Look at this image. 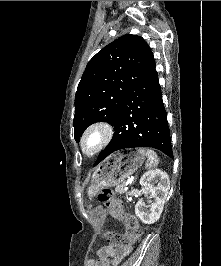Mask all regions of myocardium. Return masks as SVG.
<instances>
[{"mask_svg": "<svg viewBox=\"0 0 221 266\" xmlns=\"http://www.w3.org/2000/svg\"><path fill=\"white\" fill-rule=\"evenodd\" d=\"M114 134L113 126L105 121L91 124L83 133L79 141V148L85 157L98 154L111 140Z\"/></svg>", "mask_w": 221, "mask_h": 266, "instance_id": "obj_1", "label": "myocardium"}]
</instances>
